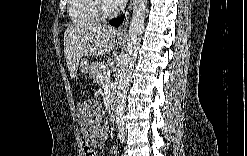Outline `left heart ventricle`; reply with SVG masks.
<instances>
[{
    "label": "left heart ventricle",
    "instance_id": "1",
    "mask_svg": "<svg viewBox=\"0 0 247 156\" xmlns=\"http://www.w3.org/2000/svg\"><path fill=\"white\" fill-rule=\"evenodd\" d=\"M111 5H113V4L111 3V1H108L107 4H106V6H111Z\"/></svg>",
    "mask_w": 247,
    "mask_h": 156
}]
</instances>
